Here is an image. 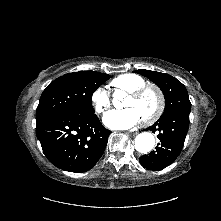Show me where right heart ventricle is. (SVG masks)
<instances>
[{"label":"right heart ventricle","mask_w":221,"mask_h":221,"mask_svg":"<svg viewBox=\"0 0 221 221\" xmlns=\"http://www.w3.org/2000/svg\"><path fill=\"white\" fill-rule=\"evenodd\" d=\"M145 84H147V81L143 77L132 73L119 75L110 83L115 89L123 90L128 93Z\"/></svg>","instance_id":"obj_1"}]
</instances>
